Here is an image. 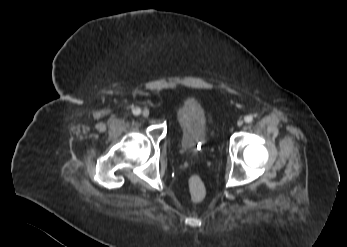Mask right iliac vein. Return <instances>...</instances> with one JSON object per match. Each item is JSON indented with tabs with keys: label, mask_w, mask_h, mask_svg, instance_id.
I'll list each match as a JSON object with an SVG mask.
<instances>
[{
	"label": "right iliac vein",
	"mask_w": 347,
	"mask_h": 247,
	"mask_svg": "<svg viewBox=\"0 0 347 247\" xmlns=\"http://www.w3.org/2000/svg\"><path fill=\"white\" fill-rule=\"evenodd\" d=\"M142 115H143V117H148L149 116V110L148 109H144L142 111Z\"/></svg>",
	"instance_id": "obj_1"
}]
</instances>
